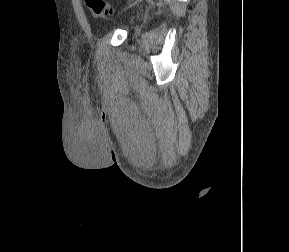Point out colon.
<instances>
[{
  "label": "colon",
  "mask_w": 289,
  "mask_h": 252,
  "mask_svg": "<svg viewBox=\"0 0 289 252\" xmlns=\"http://www.w3.org/2000/svg\"><path fill=\"white\" fill-rule=\"evenodd\" d=\"M91 14L97 18H106L114 14L113 8L106 0H85Z\"/></svg>",
  "instance_id": "obj_1"
}]
</instances>
